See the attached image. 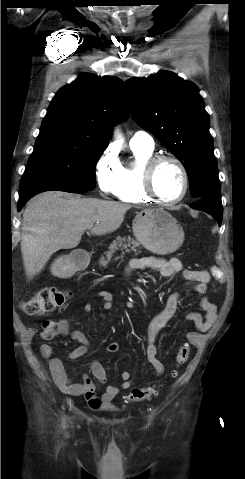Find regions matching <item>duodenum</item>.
I'll use <instances>...</instances> for the list:
<instances>
[{
  "mask_svg": "<svg viewBox=\"0 0 245 479\" xmlns=\"http://www.w3.org/2000/svg\"><path fill=\"white\" fill-rule=\"evenodd\" d=\"M73 262H74L75 267L78 270H81L87 265L88 257H87L86 254H81L79 256H73Z\"/></svg>",
  "mask_w": 245,
  "mask_h": 479,
  "instance_id": "410a0bca",
  "label": "duodenum"
}]
</instances>
